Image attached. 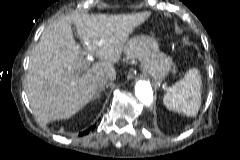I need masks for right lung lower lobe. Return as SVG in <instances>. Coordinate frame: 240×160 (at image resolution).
<instances>
[{"mask_svg": "<svg viewBox=\"0 0 240 160\" xmlns=\"http://www.w3.org/2000/svg\"><path fill=\"white\" fill-rule=\"evenodd\" d=\"M90 129H92V127H91ZM90 129H88V130L84 131V132H83V133H81L80 135H85V134H87V133L89 132V130H90Z\"/></svg>", "mask_w": 240, "mask_h": 160, "instance_id": "1", "label": "right lung lower lobe"}]
</instances>
